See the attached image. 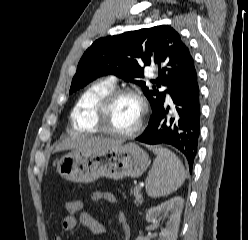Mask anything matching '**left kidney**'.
<instances>
[{
  "label": "left kidney",
  "mask_w": 248,
  "mask_h": 240,
  "mask_svg": "<svg viewBox=\"0 0 248 240\" xmlns=\"http://www.w3.org/2000/svg\"><path fill=\"white\" fill-rule=\"evenodd\" d=\"M183 204L184 199L177 196L147 211L146 220L152 223L156 222L160 216L169 215L166 227L160 232V240H177ZM136 240H146V238L140 235Z\"/></svg>",
  "instance_id": "1"
}]
</instances>
